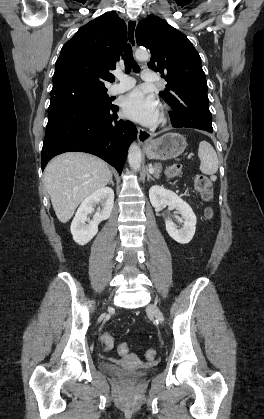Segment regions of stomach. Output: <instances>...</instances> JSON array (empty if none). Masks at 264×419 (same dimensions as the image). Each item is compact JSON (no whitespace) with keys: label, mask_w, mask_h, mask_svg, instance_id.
<instances>
[{"label":"stomach","mask_w":264,"mask_h":419,"mask_svg":"<svg viewBox=\"0 0 264 419\" xmlns=\"http://www.w3.org/2000/svg\"><path fill=\"white\" fill-rule=\"evenodd\" d=\"M187 146L186 138L178 133H167L145 144L146 155L151 159L168 160L181 155Z\"/></svg>","instance_id":"obj_1"}]
</instances>
